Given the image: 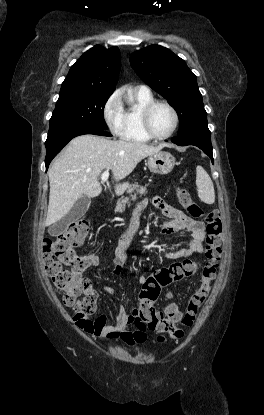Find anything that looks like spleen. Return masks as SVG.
I'll list each match as a JSON object with an SVG mask.
<instances>
[{
	"instance_id": "3e777b00",
	"label": "spleen",
	"mask_w": 264,
	"mask_h": 415,
	"mask_svg": "<svg viewBox=\"0 0 264 415\" xmlns=\"http://www.w3.org/2000/svg\"><path fill=\"white\" fill-rule=\"evenodd\" d=\"M196 185L201 201L206 204H213L215 202L213 182L208 173L200 165L196 167Z\"/></svg>"
}]
</instances>
